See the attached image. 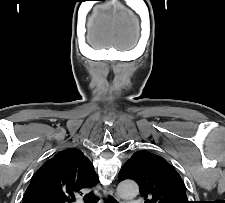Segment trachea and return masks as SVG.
I'll list each match as a JSON object with an SVG mask.
<instances>
[{"label": "trachea", "mask_w": 225, "mask_h": 203, "mask_svg": "<svg viewBox=\"0 0 225 203\" xmlns=\"http://www.w3.org/2000/svg\"><path fill=\"white\" fill-rule=\"evenodd\" d=\"M84 199L87 203H97L98 202V198L96 196H94V194L92 192L85 195ZM105 203H117V201L113 197H110L108 200H105Z\"/></svg>", "instance_id": "1"}]
</instances>
